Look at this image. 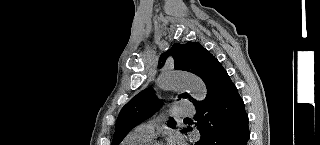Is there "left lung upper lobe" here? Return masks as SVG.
I'll return each instance as SVG.
<instances>
[{"mask_svg":"<svg viewBox=\"0 0 320 145\" xmlns=\"http://www.w3.org/2000/svg\"><path fill=\"white\" fill-rule=\"evenodd\" d=\"M170 55L173 56L176 70L191 72L199 77L206 67L216 59L198 42L176 43L170 50L161 55L158 66L162 67ZM182 97L192 99L187 93H183ZM192 101L194 103L196 100L193 99ZM160 106L161 103L156 98L153 89H146L134 96L119 113L112 145H119L132 128L153 115ZM168 126L171 128L176 126L173 118L169 119ZM182 132H185V130H182Z\"/></svg>","mask_w":320,"mask_h":145,"instance_id":"obj_1","label":"left lung upper lobe"}]
</instances>
